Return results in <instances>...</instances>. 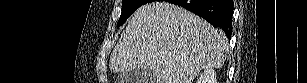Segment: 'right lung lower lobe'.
Wrapping results in <instances>:
<instances>
[{
    "mask_svg": "<svg viewBox=\"0 0 307 83\" xmlns=\"http://www.w3.org/2000/svg\"><path fill=\"white\" fill-rule=\"evenodd\" d=\"M220 27L230 39L232 34V0H169Z\"/></svg>",
    "mask_w": 307,
    "mask_h": 83,
    "instance_id": "obj_1",
    "label": "right lung lower lobe"
}]
</instances>
